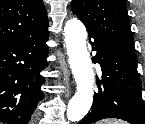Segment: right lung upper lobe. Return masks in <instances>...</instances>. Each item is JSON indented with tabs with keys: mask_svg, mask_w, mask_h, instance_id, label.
Masks as SVG:
<instances>
[{
	"mask_svg": "<svg viewBox=\"0 0 145 124\" xmlns=\"http://www.w3.org/2000/svg\"><path fill=\"white\" fill-rule=\"evenodd\" d=\"M47 28L43 0H0V43L37 36Z\"/></svg>",
	"mask_w": 145,
	"mask_h": 124,
	"instance_id": "obj_1",
	"label": "right lung upper lobe"
}]
</instances>
